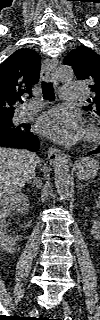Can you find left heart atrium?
I'll return each instance as SVG.
<instances>
[{"label": "left heart atrium", "instance_id": "39dd6f15", "mask_svg": "<svg viewBox=\"0 0 100 320\" xmlns=\"http://www.w3.org/2000/svg\"><path fill=\"white\" fill-rule=\"evenodd\" d=\"M36 128L43 135L61 144L76 143L82 136L80 116L60 107L44 113Z\"/></svg>", "mask_w": 100, "mask_h": 320}]
</instances>
